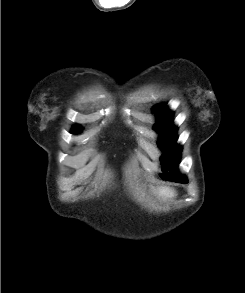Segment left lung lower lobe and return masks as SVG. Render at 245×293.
I'll use <instances>...</instances> for the list:
<instances>
[{
    "label": "left lung lower lobe",
    "mask_w": 245,
    "mask_h": 293,
    "mask_svg": "<svg viewBox=\"0 0 245 293\" xmlns=\"http://www.w3.org/2000/svg\"><path fill=\"white\" fill-rule=\"evenodd\" d=\"M179 181H180L179 183H183V184L187 183V179H183V180H179Z\"/></svg>",
    "instance_id": "0a47b994"
}]
</instances>
